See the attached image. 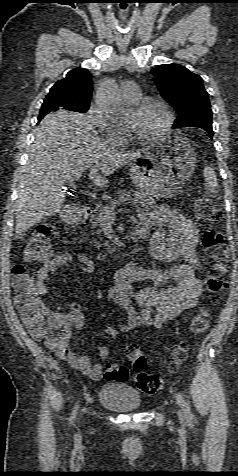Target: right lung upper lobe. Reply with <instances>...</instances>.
Returning <instances> with one entry per match:
<instances>
[{
    "mask_svg": "<svg viewBox=\"0 0 238 476\" xmlns=\"http://www.w3.org/2000/svg\"><path fill=\"white\" fill-rule=\"evenodd\" d=\"M91 77L87 69L75 68L52 86L45 100L58 95L61 99L57 102L63 105L62 110L71 105L89 106L93 89Z\"/></svg>",
    "mask_w": 238,
    "mask_h": 476,
    "instance_id": "obj_1",
    "label": "right lung upper lobe"
}]
</instances>
